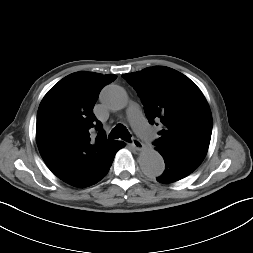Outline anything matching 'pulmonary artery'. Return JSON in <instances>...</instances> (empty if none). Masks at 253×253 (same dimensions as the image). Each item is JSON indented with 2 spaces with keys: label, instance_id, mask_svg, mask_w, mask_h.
Wrapping results in <instances>:
<instances>
[{
  "label": "pulmonary artery",
  "instance_id": "obj_1",
  "mask_svg": "<svg viewBox=\"0 0 253 253\" xmlns=\"http://www.w3.org/2000/svg\"><path fill=\"white\" fill-rule=\"evenodd\" d=\"M129 118H130V120H131L133 123H134L136 120L141 119V112H140V110H139L138 107L133 106L132 108H130V110H129ZM147 131H148V133H149L150 135H152V132H151L149 129H147Z\"/></svg>",
  "mask_w": 253,
  "mask_h": 253
}]
</instances>
